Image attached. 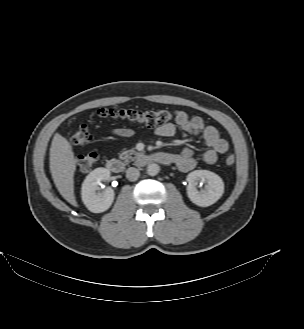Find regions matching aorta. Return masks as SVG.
Returning <instances> with one entry per match:
<instances>
[{
	"label": "aorta",
	"instance_id": "aorta-1",
	"mask_svg": "<svg viewBox=\"0 0 304 329\" xmlns=\"http://www.w3.org/2000/svg\"><path fill=\"white\" fill-rule=\"evenodd\" d=\"M160 167L156 163H151L147 167V174L150 176H155L159 173Z\"/></svg>",
	"mask_w": 304,
	"mask_h": 329
}]
</instances>
